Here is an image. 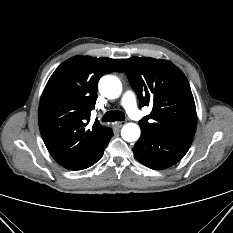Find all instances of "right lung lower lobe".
<instances>
[{"label": "right lung lower lobe", "mask_w": 233, "mask_h": 233, "mask_svg": "<svg viewBox=\"0 0 233 233\" xmlns=\"http://www.w3.org/2000/svg\"><path fill=\"white\" fill-rule=\"evenodd\" d=\"M112 136H113V132H112V130L110 129V131L107 133V136H106V137L104 138V140H103V144H102V146H101L100 152H99V154H98V156H97V158H96L94 164H95L97 161H99V160L101 159V157L103 156V152H104L105 148L107 147V144L109 143V141H110V139H111Z\"/></svg>", "instance_id": "98d812e1"}]
</instances>
